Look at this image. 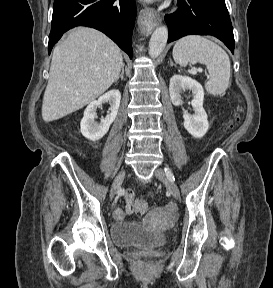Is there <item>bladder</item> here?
Segmentation results:
<instances>
[{
	"label": "bladder",
	"mask_w": 273,
	"mask_h": 288,
	"mask_svg": "<svg viewBox=\"0 0 273 288\" xmlns=\"http://www.w3.org/2000/svg\"><path fill=\"white\" fill-rule=\"evenodd\" d=\"M111 239L118 247L149 246L155 247L164 244L169 239L167 232L155 231L143 224L123 222L113 224Z\"/></svg>",
	"instance_id": "obj_1"
}]
</instances>
